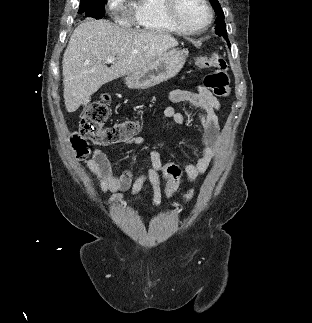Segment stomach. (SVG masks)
Here are the masks:
<instances>
[{
	"mask_svg": "<svg viewBox=\"0 0 312 323\" xmlns=\"http://www.w3.org/2000/svg\"><path fill=\"white\" fill-rule=\"evenodd\" d=\"M189 52L185 48H169L157 60L151 64L128 74L125 84L132 90H146L151 86H156L160 82H166L170 78L177 76L182 70Z\"/></svg>",
	"mask_w": 312,
	"mask_h": 323,
	"instance_id": "stomach-1",
	"label": "stomach"
}]
</instances>
